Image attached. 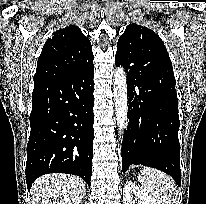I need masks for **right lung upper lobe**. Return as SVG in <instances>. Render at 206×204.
Masks as SVG:
<instances>
[{
  "label": "right lung upper lobe",
  "mask_w": 206,
  "mask_h": 204,
  "mask_svg": "<svg viewBox=\"0 0 206 204\" xmlns=\"http://www.w3.org/2000/svg\"><path fill=\"white\" fill-rule=\"evenodd\" d=\"M92 46L73 25L54 32L38 58L34 85L59 79L86 68L93 62Z\"/></svg>",
  "instance_id": "cb5924a9"
}]
</instances>
